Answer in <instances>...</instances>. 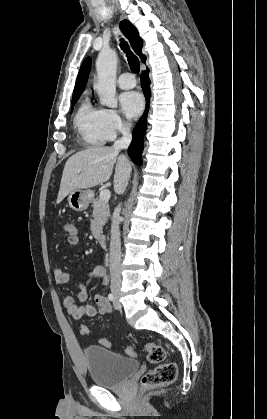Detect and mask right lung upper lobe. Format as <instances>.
<instances>
[{"label": "right lung upper lobe", "mask_w": 267, "mask_h": 419, "mask_svg": "<svg viewBox=\"0 0 267 419\" xmlns=\"http://www.w3.org/2000/svg\"><path fill=\"white\" fill-rule=\"evenodd\" d=\"M120 29L128 38L133 50L140 57L141 61L145 63L146 56L142 54L143 41L139 37V33L137 29L128 20H123L120 22ZM90 66H91V58L88 57L83 61L80 67L76 84H75V88H74V92H73V97L81 95L82 92L84 91L85 85L88 80L89 72H90Z\"/></svg>", "instance_id": "right-lung-upper-lobe-1"}]
</instances>
